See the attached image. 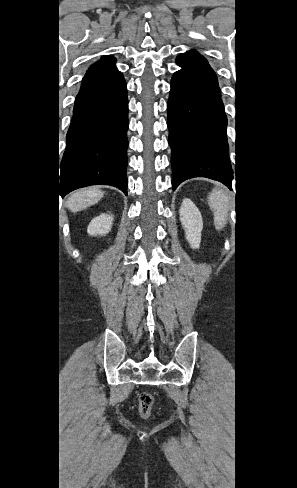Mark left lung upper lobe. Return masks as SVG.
<instances>
[{
    "label": "left lung upper lobe",
    "instance_id": "5c2ea615",
    "mask_svg": "<svg viewBox=\"0 0 297 488\" xmlns=\"http://www.w3.org/2000/svg\"><path fill=\"white\" fill-rule=\"evenodd\" d=\"M176 63L182 68L178 72H182L221 95L214 71L206 59L197 51L191 50L180 54L176 59Z\"/></svg>",
    "mask_w": 297,
    "mask_h": 488
}]
</instances>
